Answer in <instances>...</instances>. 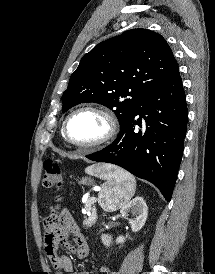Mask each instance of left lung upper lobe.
I'll return each mask as SVG.
<instances>
[{
    "label": "left lung upper lobe",
    "instance_id": "5c2ea615",
    "mask_svg": "<svg viewBox=\"0 0 215 274\" xmlns=\"http://www.w3.org/2000/svg\"><path fill=\"white\" fill-rule=\"evenodd\" d=\"M178 69L160 34L128 30L99 43L82 57L63 93L62 112L83 102H95L115 109L121 126L141 101Z\"/></svg>",
    "mask_w": 215,
    "mask_h": 274
}]
</instances>
